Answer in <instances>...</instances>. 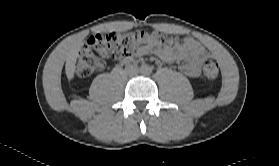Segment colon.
Here are the masks:
<instances>
[{"label":"colon","mask_w":279,"mask_h":166,"mask_svg":"<svg viewBox=\"0 0 279 166\" xmlns=\"http://www.w3.org/2000/svg\"><path fill=\"white\" fill-rule=\"evenodd\" d=\"M181 45L179 39L168 37L161 32H110L99 33L81 47L75 62L78 77H88L104 68L105 59L121 60L131 56L141 47L164 48ZM202 71L207 79H216L219 75L218 64L205 60Z\"/></svg>","instance_id":"5ec220e1"}]
</instances>
